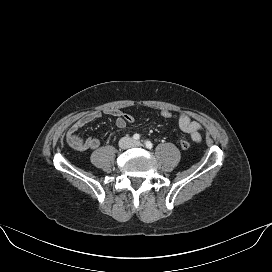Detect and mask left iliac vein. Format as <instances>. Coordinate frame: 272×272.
Instances as JSON below:
<instances>
[{
    "label": "left iliac vein",
    "mask_w": 272,
    "mask_h": 272,
    "mask_svg": "<svg viewBox=\"0 0 272 272\" xmlns=\"http://www.w3.org/2000/svg\"><path fill=\"white\" fill-rule=\"evenodd\" d=\"M134 145L138 147V146H141V143L139 141H135Z\"/></svg>",
    "instance_id": "obj_1"
}]
</instances>
